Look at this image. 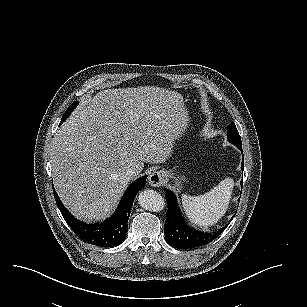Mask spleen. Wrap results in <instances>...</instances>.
<instances>
[{
    "instance_id": "3e777b00",
    "label": "spleen",
    "mask_w": 307,
    "mask_h": 307,
    "mask_svg": "<svg viewBox=\"0 0 307 307\" xmlns=\"http://www.w3.org/2000/svg\"><path fill=\"white\" fill-rule=\"evenodd\" d=\"M235 186L231 176L220 181L218 187L201 197H181L187 220L198 228L215 226L227 213Z\"/></svg>"
}]
</instances>
